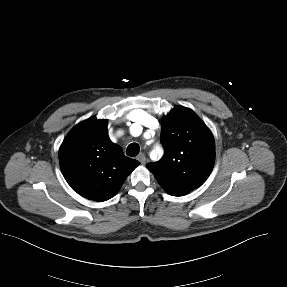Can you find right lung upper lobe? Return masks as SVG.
<instances>
[{
  "mask_svg": "<svg viewBox=\"0 0 287 287\" xmlns=\"http://www.w3.org/2000/svg\"><path fill=\"white\" fill-rule=\"evenodd\" d=\"M107 122L95 117L80 122L59 149L61 171L68 184L81 196L97 202L112 198L139 165L110 140Z\"/></svg>",
  "mask_w": 287,
  "mask_h": 287,
  "instance_id": "1",
  "label": "right lung upper lobe"
}]
</instances>
